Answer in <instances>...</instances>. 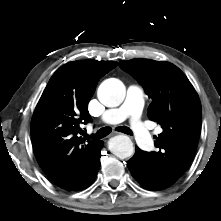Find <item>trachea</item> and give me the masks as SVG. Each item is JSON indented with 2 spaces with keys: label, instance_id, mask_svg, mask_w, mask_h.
<instances>
[{
  "label": "trachea",
  "instance_id": "obj_1",
  "mask_svg": "<svg viewBox=\"0 0 221 221\" xmlns=\"http://www.w3.org/2000/svg\"><path fill=\"white\" fill-rule=\"evenodd\" d=\"M112 131V129L108 126L101 128L96 135L93 137V139H101L106 137L108 134H110ZM116 131L128 134V135H132V132L130 130V128L126 127V126H119L116 128Z\"/></svg>",
  "mask_w": 221,
  "mask_h": 221
}]
</instances>
